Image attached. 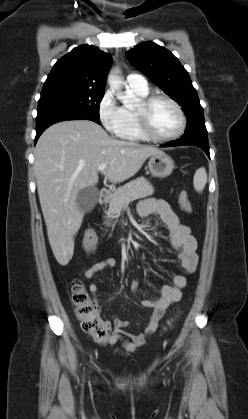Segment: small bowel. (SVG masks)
Segmentation results:
<instances>
[{
    "mask_svg": "<svg viewBox=\"0 0 248 419\" xmlns=\"http://www.w3.org/2000/svg\"><path fill=\"white\" fill-rule=\"evenodd\" d=\"M137 212L141 217L157 214L162 219L168 229L171 244L178 252L179 272L173 275L171 285L163 286L158 299L141 300L140 304L152 311L143 332L127 335L124 329L128 326V322L117 317L113 319L115 329L107 343L110 346L121 344L122 349L127 354L133 353L144 345L147 338L156 330L166 309L181 300L182 289L186 286V275L193 273L198 264L197 241L195 237L191 234L190 228L180 222L179 217L166 201L156 198L144 199L139 203ZM115 264L114 258H105L97 261L86 270L85 277L86 279H92L101 270L114 267ZM137 288L138 281L133 280L131 282L132 291H136ZM88 289L95 294L97 285L91 283ZM115 351L120 352L121 350L115 347Z\"/></svg>",
    "mask_w": 248,
    "mask_h": 419,
    "instance_id": "obj_1",
    "label": "small bowel"
}]
</instances>
